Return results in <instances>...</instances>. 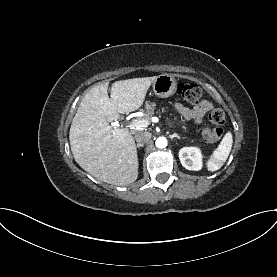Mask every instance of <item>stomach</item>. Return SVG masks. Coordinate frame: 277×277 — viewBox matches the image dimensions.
Returning <instances> with one entry per match:
<instances>
[{
    "mask_svg": "<svg viewBox=\"0 0 277 277\" xmlns=\"http://www.w3.org/2000/svg\"><path fill=\"white\" fill-rule=\"evenodd\" d=\"M177 88L175 78L170 74L159 75L152 83V89L155 95L166 98L173 95Z\"/></svg>",
    "mask_w": 277,
    "mask_h": 277,
    "instance_id": "1",
    "label": "stomach"
}]
</instances>
